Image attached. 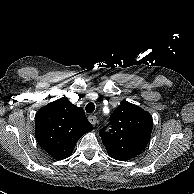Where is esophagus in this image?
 I'll use <instances>...</instances> for the list:
<instances>
[{
    "instance_id": "34e87169",
    "label": "esophagus",
    "mask_w": 194,
    "mask_h": 194,
    "mask_svg": "<svg viewBox=\"0 0 194 194\" xmlns=\"http://www.w3.org/2000/svg\"><path fill=\"white\" fill-rule=\"evenodd\" d=\"M88 119H89V121L92 125H95L97 123V117L96 116H93V115L89 116Z\"/></svg>"
}]
</instances>
